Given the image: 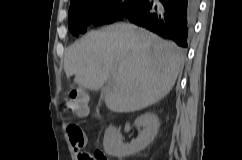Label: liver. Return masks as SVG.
I'll return each mask as SVG.
<instances>
[{
	"mask_svg": "<svg viewBox=\"0 0 242 160\" xmlns=\"http://www.w3.org/2000/svg\"><path fill=\"white\" fill-rule=\"evenodd\" d=\"M175 43L130 23L91 31L71 45L64 58L66 76L90 90L103 91L113 112H134L163 99L183 69Z\"/></svg>",
	"mask_w": 242,
	"mask_h": 160,
	"instance_id": "liver-1",
	"label": "liver"
}]
</instances>
